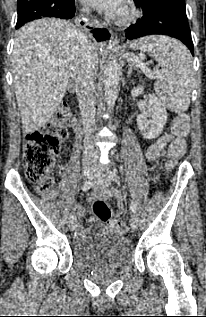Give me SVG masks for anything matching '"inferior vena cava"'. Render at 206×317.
Listing matches in <instances>:
<instances>
[{"instance_id": "602c4592", "label": "inferior vena cava", "mask_w": 206, "mask_h": 317, "mask_svg": "<svg viewBox=\"0 0 206 317\" xmlns=\"http://www.w3.org/2000/svg\"><path fill=\"white\" fill-rule=\"evenodd\" d=\"M83 12L89 13L86 7ZM78 69L76 78V94L79 101L82 122L85 132L83 166L85 168L97 166V151L90 136L93 133L95 120V101L93 91L94 80L98 69V58L94 45L83 34L77 36Z\"/></svg>"}]
</instances>
